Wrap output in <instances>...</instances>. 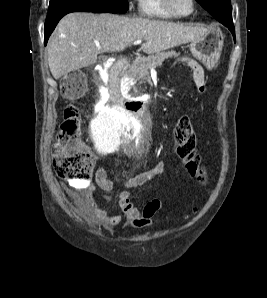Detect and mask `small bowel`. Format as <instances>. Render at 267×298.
<instances>
[{"mask_svg": "<svg viewBox=\"0 0 267 298\" xmlns=\"http://www.w3.org/2000/svg\"><path fill=\"white\" fill-rule=\"evenodd\" d=\"M183 62L191 69L192 78L198 92L201 95L206 94L208 90V82L203 68L199 63L190 58H184ZM165 163H158L152 171L146 174L137 175L128 180L125 184V190L121 192L118 205L121 208L127 225L132 228H144L152 224L153 217L161 209L162 202L158 198H154L145 204L143 208L134 205L128 192L129 188L144 185L153 176L166 172ZM95 181L97 186L104 192H110L113 189V183L107 178L104 168L100 167L95 173ZM96 187L88 185L85 187V194L80 195L73 190H67V194L83 212L84 216L92 223L102 224L107 227L118 225L122 217L117 214H110L101 208L95 199Z\"/></svg>", "mask_w": 267, "mask_h": 298, "instance_id": "1", "label": "small bowel"}]
</instances>
